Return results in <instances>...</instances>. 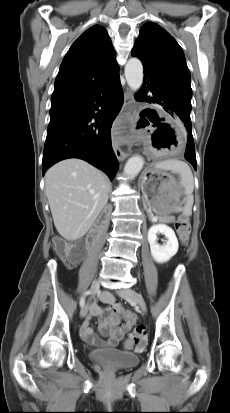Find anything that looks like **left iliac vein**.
Segmentation results:
<instances>
[{
	"label": "left iliac vein",
	"instance_id": "4c4485c4",
	"mask_svg": "<svg viewBox=\"0 0 230 413\" xmlns=\"http://www.w3.org/2000/svg\"><path fill=\"white\" fill-rule=\"evenodd\" d=\"M118 295L129 302L137 304L143 313L147 312L145 300L137 291L133 289H123L118 291Z\"/></svg>",
	"mask_w": 230,
	"mask_h": 413
}]
</instances>
